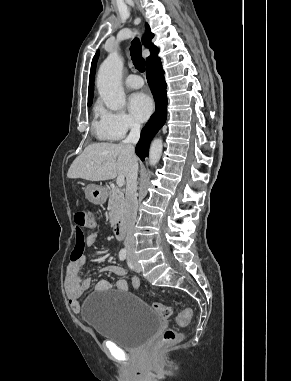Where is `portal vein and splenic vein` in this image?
<instances>
[{
	"label": "portal vein and splenic vein",
	"instance_id": "obj_1",
	"mask_svg": "<svg viewBox=\"0 0 291 381\" xmlns=\"http://www.w3.org/2000/svg\"><path fill=\"white\" fill-rule=\"evenodd\" d=\"M116 183L119 187H122L125 184V178L124 177H117Z\"/></svg>",
	"mask_w": 291,
	"mask_h": 381
}]
</instances>
